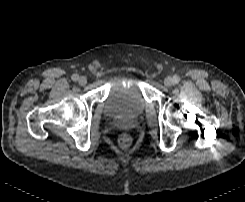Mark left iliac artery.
Wrapping results in <instances>:
<instances>
[{
  "label": "left iliac artery",
  "mask_w": 245,
  "mask_h": 202,
  "mask_svg": "<svg viewBox=\"0 0 245 202\" xmlns=\"http://www.w3.org/2000/svg\"><path fill=\"white\" fill-rule=\"evenodd\" d=\"M179 81H180V77H179V76H174V77H173V82H174V83L177 84V83H179Z\"/></svg>",
  "instance_id": "44dca946"
}]
</instances>
